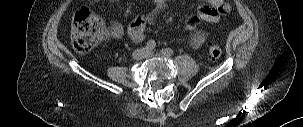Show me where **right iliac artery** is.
<instances>
[{
    "instance_id": "right-iliac-artery-1",
    "label": "right iliac artery",
    "mask_w": 303,
    "mask_h": 127,
    "mask_svg": "<svg viewBox=\"0 0 303 127\" xmlns=\"http://www.w3.org/2000/svg\"><path fill=\"white\" fill-rule=\"evenodd\" d=\"M155 47H156V43L153 40L148 41L146 44V48L148 50H153L155 49Z\"/></svg>"
}]
</instances>
